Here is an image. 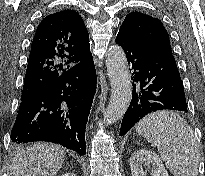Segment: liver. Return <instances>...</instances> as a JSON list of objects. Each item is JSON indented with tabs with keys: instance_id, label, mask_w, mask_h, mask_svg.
Here are the masks:
<instances>
[{
	"instance_id": "liver-1",
	"label": "liver",
	"mask_w": 205,
	"mask_h": 176,
	"mask_svg": "<svg viewBox=\"0 0 205 176\" xmlns=\"http://www.w3.org/2000/svg\"><path fill=\"white\" fill-rule=\"evenodd\" d=\"M64 150L49 143H36L17 152L10 176H54L61 168Z\"/></svg>"
}]
</instances>
